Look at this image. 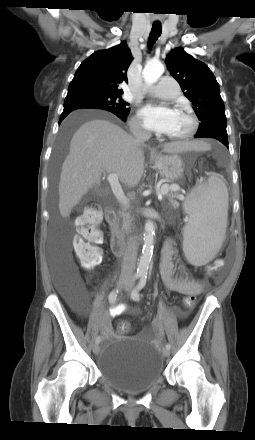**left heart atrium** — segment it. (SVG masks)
<instances>
[{
  "instance_id": "1",
  "label": "left heart atrium",
  "mask_w": 255,
  "mask_h": 440,
  "mask_svg": "<svg viewBox=\"0 0 255 440\" xmlns=\"http://www.w3.org/2000/svg\"><path fill=\"white\" fill-rule=\"evenodd\" d=\"M140 116L148 129L169 134L173 129L176 110L166 106L148 104L141 109Z\"/></svg>"
}]
</instances>
